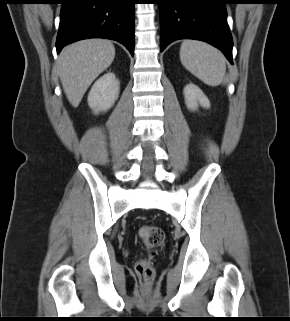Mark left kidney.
<instances>
[{"label": "left kidney", "instance_id": "obj_1", "mask_svg": "<svg viewBox=\"0 0 290 321\" xmlns=\"http://www.w3.org/2000/svg\"><path fill=\"white\" fill-rule=\"evenodd\" d=\"M184 97L186 106L190 110H196L198 108V104L204 108L210 107V101L208 98L198 86L192 83L186 85L184 88Z\"/></svg>", "mask_w": 290, "mask_h": 321}]
</instances>
